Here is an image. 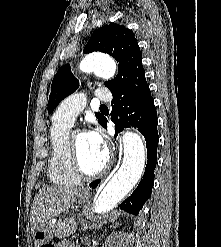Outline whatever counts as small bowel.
Masks as SVG:
<instances>
[{"label": "small bowel", "mask_w": 221, "mask_h": 247, "mask_svg": "<svg viewBox=\"0 0 221 247\" xmlns=\"http://www.w3.org/2000/svg\"><path fill=\"white\" fill-rule=\"evenodd\" d=\"M56 247H70L68 244L62 243L57 245Z\"/></svg>", "instance_id": "small-bowel-1"}]
</instances>
